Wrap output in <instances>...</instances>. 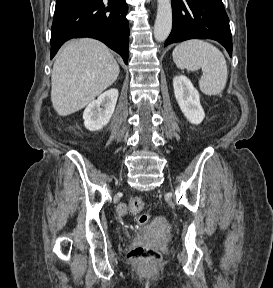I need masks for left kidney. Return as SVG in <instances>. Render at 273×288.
<instances>
[{
	"instance_id": "5707ae66",
	"label": "left kidney",
	"mask_w": 273,
	"mask_h": 288,
	"mask_svg": "<svg viewBox=\"0 0 273 288\" xmlns=\"http://www.w3.org/2000/svg\"><path fill=\"white\" fill-rule=\"evenodd\" d=\"M173 88L175 98L186 119L192 124H200L205 117V113L200 104L197 89L184 75L173 78Z\"/></svg>"
}]
</instances>
